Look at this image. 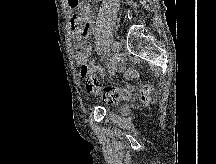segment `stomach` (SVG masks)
Returning <instances> with one entry per match:
<instances>
[{"mask_svg":"<svg viewBox=\"0 0 216 164\" xmlns=\"http://www.w3.org/2000/svg\"><path fill=\"white\" fill-rule=\"evenodd\" d=\"M66 2L71 9H77L81 7L83 0H66Z\"/></svg>","mask_w":216,"mask_h":164,"instance_id":"obj_1","label":"stomach"}]
</instances>
